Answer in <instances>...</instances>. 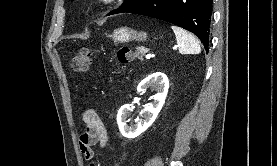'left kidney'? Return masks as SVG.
I'll list each match as a JSON object with an SVG mask.
<instances>
[{
    "label": "left kidney",
    "instance_id": "1",
    "mask_svg": "<svg viewBox=\"0 0 277 166\" xmlns=\"http://www.w3.org/2000/svg\"><path fill=\"white\" fill-rule=\"evenodd\" d=\"M148 87H153L156 90V94L153 97L154 102L144 108L143 120L133 126L127 125L131 104L123 105L118 111L117 123L119 130L126 138L138 137L153 124L164 105L169 89V80L164 73H153L139 83L137 92L143 94Z\"/></svg>",
    "mask_w": 277,
    "mask_h": 166
}]
</instances>
